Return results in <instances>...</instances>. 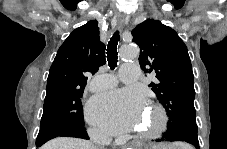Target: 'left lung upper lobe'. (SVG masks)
I'll return each mask as SVG.
<instances>
[{
	"label": "left lung upper lobe",
	"mask_w": 227,
	"mask_h": 149,
	"mask_svg": "<svg viewBox=\"0 0 227 149\" xmlns=\"http://www.w3.org/2000/svg\"><path fill=\"white\" fill-rule=\"evenodd\" d=\"M131 33L140 47L141 68L156 75V82L149 87L166 109L169 123L196 122L194 76L182 39L172 28L153 19L137 25Z\"/></svg>",
	"instance_id": "left-lung-upper-lobe-1"
}]
</instances>
